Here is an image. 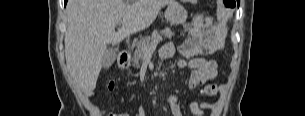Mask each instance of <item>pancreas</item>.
I'll return each mask as SVG.
<instances>
[{"instance_id": "obj_1", "label": "pancreas", "mask_w": 305, "mask_h": 116, "mask_svg": "<svg viewBox=\"0 0 305 116\" xmlns=\"http://www.w3.org/2000/svg\"><path fill=\"white\" fill-rule=\"evenodd\" d=\"M163 36L164 38L171 39L174 35V33L171 31L169 27H166L165 29L161 30L158 32L157 30L153 31L151 36H147L145 38L140 39L139 41L136 42L135 46V51L133 53L132 57V62L133 66L139 67V63L143 58L144 51H143V46L144 45H149L150 42L153 41L154 38L158 36Z\"/></svg>"}]
</instances>
